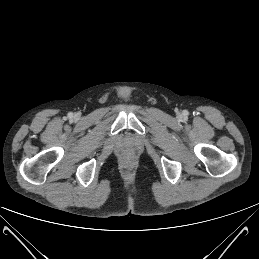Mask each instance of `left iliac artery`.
Returning <instances> with one entry per match:
<instances>
[{"label": "left iliac artery", "instance_id": "obj_1", "mask_svg": "<svg viewBox=\"0 0 259 259\" xmlns=\"http://www.w3.org/2000/svg\"><path fill=\"white\" fill-rule=\"evenodd\" d=\"M183 115H184L185 117H187V116H188V111H187V110H184V111H183Z\"/></svg>", "mask_w": 259, "mask_h": 259}]
</instances>
